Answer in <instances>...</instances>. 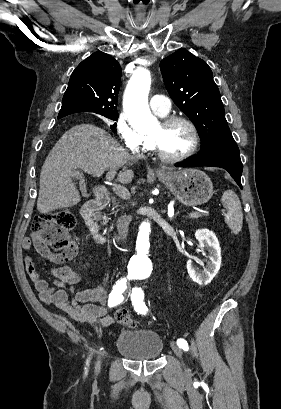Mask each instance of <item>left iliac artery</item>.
Returning a JSON list of instances; mask_svg holds the SVG:
<instances>
[{
  "label": "left iliac artery",
  "instance_id": "1",
  "mask_svg": "<svg viewBox=\"0 0 281 409\" xmlns=\"http://www.w3.org/2000/svg\"><path fill=\"white\" fill-rule=\"evenodd\" d=\"M131 300L134 306V310L138 314H146L148 309L144 303V293L140 287H135L131 291ZM177 345L183 350H188V343L184 339H178Z\"/></svg>",
  "mask_w": 281,
  "mask_h": 409
}]
</instances>
